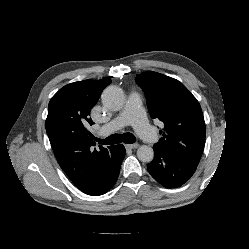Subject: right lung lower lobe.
<instances>
[{"instance_id": "obj_1", "label": "right lung lower lobe", "mask_w": 249, "mask_h": 249, "mask_svg": "<svg viewBox=\"0 0 249 249\" xmlns=\"http://www.w3.org/2000/svg\"><path fill=\"white\" fill-rule=\"evenodd\" d=\"M112 148L114 153L112 165L108 167L103 175L99 176L94 181L93 185L88 189V191H85L86 194L92 196L102 195L108 192L117 181L120 167L125 156V148L122 144L112 146Z\"/></svg>"}]
</instances>
